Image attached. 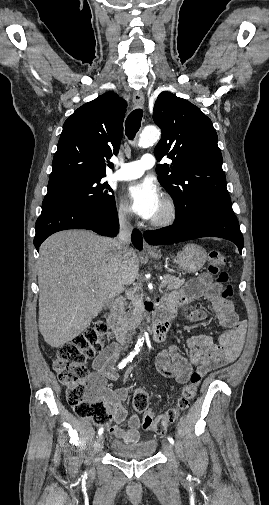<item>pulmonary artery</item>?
I'll return each mask as SVG.
<instances>
[{"label": "pulmonary artery", "mask_w": 269, "mask_h": 505, "mask_svg": "<svg viewBox=\"0 0 269 505\" xmlns=\"http://www.w3.org/2000/svg\"><path fill=\"white\" fill-rule=\"evenodd\" d=\"M120 169L112 176L114 180H131L143 175L144 171L150 169L155 164V158L151 154H144L140 160L122 163L117 162Z\"/></svg>", "instance_id": "obj_1"}]
</instances>
